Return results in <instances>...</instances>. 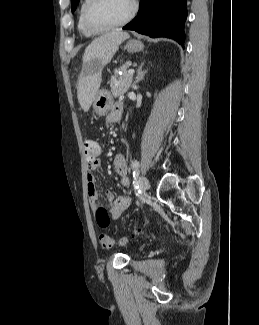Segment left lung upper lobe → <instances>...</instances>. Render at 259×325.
<instances>
[{
    "instance_id": "1",
    "label": "left lung upper lobe",
    "mask_w": 259,
    "mask_h": 325,
    "mask_svg": "<svg viewBox=\"0 0 259 325\" xmlns=\"http://www.w3.org/2000/svg\"><path fill=\"white\" fill-rule=\"evenodd\" d=\"M78 2H79V0H71V10H72V12L75 11Z\"/></svg>"
}]
</instances>
